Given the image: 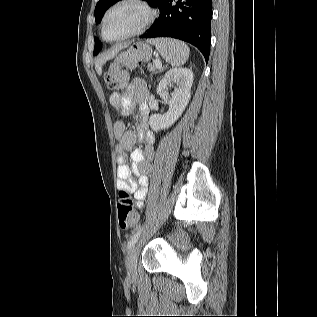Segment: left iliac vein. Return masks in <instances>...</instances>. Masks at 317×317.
<instances>
[{"label": "left iliac vein", "mask_w": 317, "mask_h": 317, "mask_svg": "<svg viewBox=\"0 0 317 317\" xmlns=\"http://www.w3.org/2000/svg\"><path fill=\"white\" fill-rule=\"evenodd\" d=\"M137 254H138V244L134 243L126 259L127 273L129 278L131 279H135L137 276Z\"/></svg>", "instance_id": "left-iliac-vein-1"}]
</instances>
